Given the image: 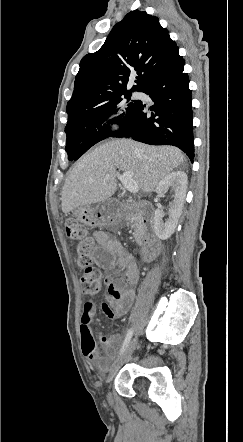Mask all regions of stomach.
<instances>
[{"label":"stomach","instance_id":"1","mask_svg":"<svg viewBox=\"0 0 243 442\" xmlns=\"http://www.w3.org/2000/svg\"><path fill=\"white\" fill-rule=\"evenodd\" d=\"M73 213L77 220L89 226H111L117 220L116 213L108 208V203L96 207L80 206L75 208Z\"/></svg>","mask_w":243,"mask_h":442}]
</instances>
